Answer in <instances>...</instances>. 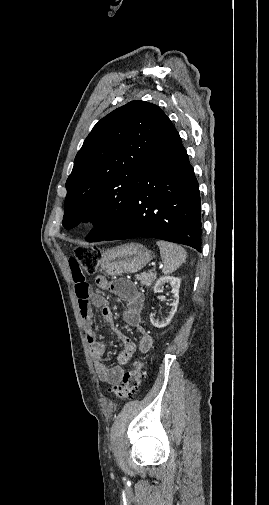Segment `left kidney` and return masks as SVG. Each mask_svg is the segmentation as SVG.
Listing matches in <instances>:
<instances>
[{"mask_svg": "<svg viewBox=\"0 0 269 505\" xmlns=\"http://www.w3.org/2000/svg\"><path fill=\"white\" fill-rule=\"evenodd\" d=\"M181 279L173 276H162L159 278L154 286V292L160 293L163 292V285L169 283L172 286V295L173 301L171 303V310L168 316L161 321L155 318V314L150 315V322L156 328L166 327L170 321L172 320L175 312L177 311L178 303H179V288H180Z\"/></svg>", "mask_w": 269, "mask_h": 505, "instance_id": "5707ae66", "label": "left kidney"}]
</instances>
